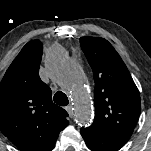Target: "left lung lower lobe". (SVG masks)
Instances as JSON below:
<instances>
[{
	"instance_id": "obj_1",
	"label": "left lung lower lobe",
	"mask_w": 151,
	"mask_h": 151,
	"mask_svg": "<svg viewBox=\"0 0 151 151\" xmlns=\"http://www.w3.org/2000/svg\"><path fill=\"white\" fill-rule=\"evenodd\" d=\"M81 135L91 151H118L128 141L126 137L93 134L87 131L81 132Z\"/></svg>"
}]
</instances>
